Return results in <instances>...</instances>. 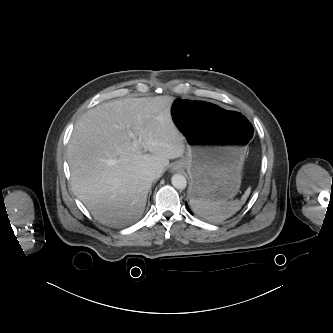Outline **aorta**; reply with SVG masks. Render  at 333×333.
I'll return each instance as SVG.
<instances>
[{
  "label": "aorta",
  "instance_id": "aorta-1",
  "mask_svg": "<svg viewBox=\"0 0 333 333\" xmlns=\"http://www.w3.org/2000/svg\"><path fill=\"white\" fill-rule=\"evenodd\" d=\"M171 182L176 189L180 190L185 189L187 185L186 178L181 174H174L171 178Z\"/></svg>",
  "mask_w": 333,
  "mask_h": 333
}]
</instances>
